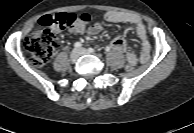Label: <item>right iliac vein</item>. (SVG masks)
Segmentation results:
<instances>
[{
    "label": "right iliac vein",
    "instance_id": "63e3f726",
    "mask_svg": "<svg viewBox=\"0 0 194 133\" xmlns=\"http://www.w3.org/2000/svg\"><path fill=\"white\" fill-rule=\"evenodd\" d=\"M80 56V53L77 49H74L70 54L71 62H76Z\"/></svg>",
    "mask_w": 194,
    "mask_h": 133
}]
</instances>
